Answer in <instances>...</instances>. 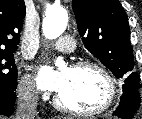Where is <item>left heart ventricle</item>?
<instances>
[{
    "label": "left heart ventricle",
    "mask_w": 142,
    "mask_h": 119,
    "mask_svg": "<svg viewBox=\"0 0 142 119\" xmlns=\"http://www.w3.org/2000/svg\"><path fill=\"white\" fill-rule=\"evenodd\" d=\"M66 82L59 92L63 104L78 110L99 107L106 98L107 86L102 75L94 69H66Z\"/></svg>",
    "instance_id": "1"
}]
</instances>
